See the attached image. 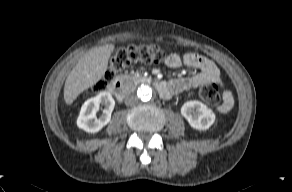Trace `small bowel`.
I'll list each match as a JSON object with an SVG mask.
<instances>
[{"label": "small bowel", "instance_id": "c3829d8e", "mask_svg": "<svg viewBox=\"0 0 292 192\" xmlns=\"http://www.w3.org/2000/svg\"><path fill=\"white\" fill-rule=\"evenodd\" d=\"M165 63L169 68L172 69H176L182 65H185L198 70V72L194 75L170 80L168 82L170 93L165 98H169L173 95L180 94L209 83H215L222 86V79L219 68L213 61L202 55L192 52L185 53L183 55L171 53L167 56ZM232 105L233 97L231 92L224 90L223 104L219 108V111L226 113L230 110Z\"/></svg>", "mask_w": 292, "mask_h": 192}]
</instances>
